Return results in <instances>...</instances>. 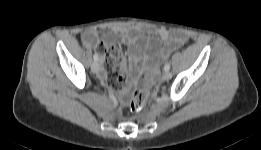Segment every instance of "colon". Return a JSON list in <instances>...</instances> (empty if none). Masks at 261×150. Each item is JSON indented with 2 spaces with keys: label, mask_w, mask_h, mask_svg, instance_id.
<instances>
[{
  "label": "colon",
  "mask_w": 261,
  "mask_h": 150,
  "mask_svg": "<svg viewBox=\"0 0 261 150\" xmlns=\"http://www.w3.org/2000/svg\"><path fill=\"white\" fill-rule=\"evenodd\" d=\"M149 97L148 85L145 82L140 88H138L132 95L130 102V109L134 113H139L145 107Z\"/></svg>",
  "instance_id": "colon-1"
}]
</instances>
